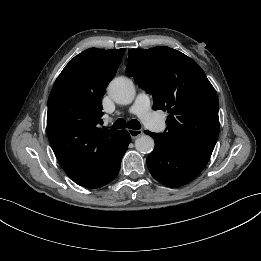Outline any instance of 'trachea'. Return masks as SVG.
I'll list each match as a JSON object with an SVG mask.
<instances>
[{"mask_svg": "<svg viewBox=\"0 0 261 261\" xmlns=\"http://www.w3.org/2000/svg\"><path fill=\"white\" fill-rule=\"evenodd\" d=\"M130 128V129H140L141 124L136 120H130L128 123L124 119H117L114 124L112 125V129H121V128Z\"/></svg>", "mask_w": 261, "mask_h": 261, "instance_id": "trachea-1", "label": "trachea"}]
</instances>
